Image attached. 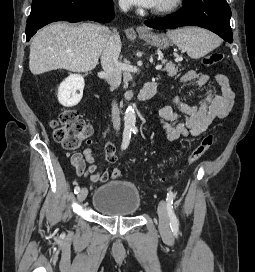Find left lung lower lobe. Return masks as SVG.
<instances>
[{
  "instance_id": "obj_1",
  "label": "left lung lower lobe",
  "mask_w": 255,
  "mask_h": 272,
  "mask_svg": "<svg viewBox=\"0 0 255 272\" xmlns=\"http://www.w3.org/2000/svg\"><path fill=\"white\" fill-rule=\"evenodd\" d=\"M183 6L173 15L147 20L145 24L155 29L200 26L218 34L229 43L233 42L231 10L226 0H184Z\"/></svg>"
}]
</instances>
